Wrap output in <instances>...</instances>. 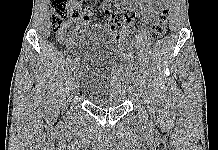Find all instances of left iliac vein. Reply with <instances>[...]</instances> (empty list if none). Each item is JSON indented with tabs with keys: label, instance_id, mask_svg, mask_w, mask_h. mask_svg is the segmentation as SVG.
<instances>
[{
	"label": "left iliac vein",
	"instance_id": "obj_1",
	"mask_svg": "<svg viewBox=\"0 0 218 150\" xmlns=\"http://www.w3.org/2000/svg\"><path fill=\"white\" fill-rule=\"evenodd\" d=\"M142 78L140 76H135L134 80L131 81V86H137L139 83L138 81H140Z\"/></svg>",
	"mask_w": 218,
	"mask_h": 150
}]
</instances>
